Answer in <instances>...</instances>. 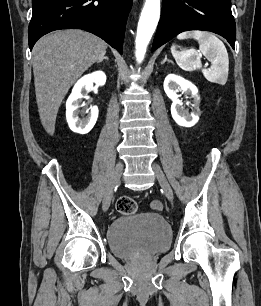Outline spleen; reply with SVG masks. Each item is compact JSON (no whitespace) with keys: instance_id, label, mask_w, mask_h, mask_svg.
<instances>
[{"instance_id":"3e777b00","label":"spleen","mask_w":261,"mask_h":306,"mask_svg":"<svg viewBox=\"0 0 261 306\" xmlns=\"http://www.w3.org/2000/svg\"><path fill=\"white\" fill-rule=\"evenodd\" d=\"M193 38L199 43V52H201L212 64L210 69H202L200 53L195 49L184 51H176L175 47H171L178 66L185 71H194L202 69V73L207 80L213 83L224 85L227 82L229 71V57L223 42L214 34L192 30L182 32L177 39Z\"/></svg>"}]
</instances>
